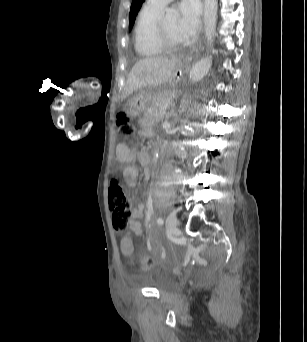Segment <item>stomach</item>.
Wrapping results in <instances>:
<instances>
[{"mask_svg":"<svg viewBox=\"0 0 307 342\" xmlns=\"http://www.w3.org/2000/svg\"><path fill=\"white\" fill-rule=\"evenodd\" d=\"M188 67L189 62L187 60L179 59L167 84L173 88L179 82L181 76L184 74L185 70L188 69ZM164 92L165 91H163V94ZM160 94L161 92H144L132 97L125 105L124 110L126 115L129 117L140 116L141 113L149 106L151 100Z\"/></svg>","mask_w":307,"mask_h":342,"instance_id":"0dacf381","label":"stomach"}]
</instances>
